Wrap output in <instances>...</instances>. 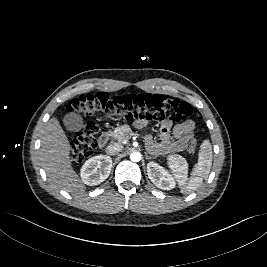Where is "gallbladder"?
<instances>
[{"label":"gallbladder","mask_w":267,"mask_h":267,"mask_svg":"<svg viewBox=\"0 0 267 267\" xmlns=\"http://www.w3.org/2000/svg\"><path fill=\"white\" fill-rule=\"evenodd\" d=\"M63 124L68 131L76 132L84 127L83 118L77 113H68L63 118Z\"/></svg>","instance_id":"bac80fb5"}]
</instances>
